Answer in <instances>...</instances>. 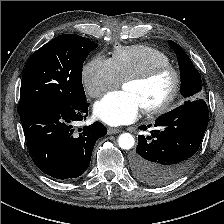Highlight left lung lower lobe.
Wrapping results in <instances>:
<instances>
[{"label": "left lung lower lobe", "mask_w": 224, "mask_h": 224, "mask_svg": "<svg viewBox=\"0 0 224 224\" xmlns=\"http://www.w3.org/2000/svg\"><path fill=\"white\" fill-rule=\"evenodd\" d=\"M208 119L207 104L200 98L157 118L151 136L138 137L137 153L132 157L134 176L153 186L178 179L189 168L199 149ZM151 126L139 128L146 130Z\"/></svg>", "instance_id": "1"}]
</instances>
